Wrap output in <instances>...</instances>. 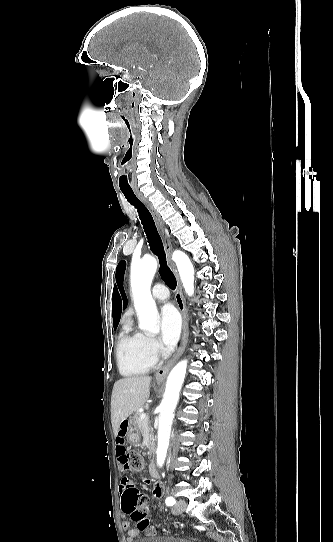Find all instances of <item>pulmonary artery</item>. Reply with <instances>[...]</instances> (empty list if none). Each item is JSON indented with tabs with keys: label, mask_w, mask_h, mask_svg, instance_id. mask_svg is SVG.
I'll use <instances>...</instances> for the list:
<instances>
[{
	"label": "pulmonary artery",
	"mask_w": 333,
	"mask_h": 542,
	"mask_svg": "<svg viewBox=\"0 0 333 542\" xmlns=\"http://www.w3.org/2000/svg\"><path fill=\"white\" fill-rule=\"evenodd\" d=\"M165 292H166V287L164 285H161L160 283H156L153 286V289L151 290L150 295L152 298L155 299V301L159 303H163L167 301L169 298L168 297L169 295L167 293L165 294Z\"/></svg>",
	"instance_id": "pulmonary-artery-1"
}]
</instances>
